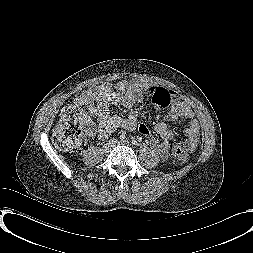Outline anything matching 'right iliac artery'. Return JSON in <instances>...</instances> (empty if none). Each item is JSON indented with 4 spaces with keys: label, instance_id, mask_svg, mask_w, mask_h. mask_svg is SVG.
I'll return each instance as SVG.
<instances>
[{
    "label": "right iliac artery",
    "instance_id": "1",
    "mask_svg": "<svg viewBox=\"0 0 253 253\" xmlns=\"http://www.w3.org/2000/svg\"><path fill=\"white\" fill-rule=\"evenodd\" d=\"M115 142L114 139L109 140V144H113Z\"/></svg>",
    "mask_w": 253,
    "mask_h": 253
}]
</instances>
